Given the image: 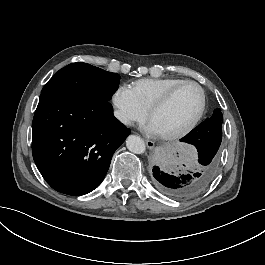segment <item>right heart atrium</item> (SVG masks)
<instances>
[{"label": "right heart atrium", "mask_w": 265, "mask_h": 265, "mask_svg": "<svg viewBox=\"0 0 265 265\" xmlns=\"http://www.w3.org/2000/svg\"><path fill=\"white\" fill-rule=\"evenodd\" d=\"M113 118L120 126L135 129L146 122L147 112L141 109L126 85H119L111 93Z\"/></svg>", "instance_id": "right-heart-atrium-1"}]
</instances>
